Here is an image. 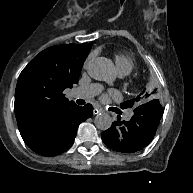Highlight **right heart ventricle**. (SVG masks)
Returning <instances> with one entry per match:
<instances>
[{
    "instance_id": "obj_1",
    "label": "right heart ventricle",
    "mask_w": 193,
    "mask_h": 193,
    "mask_svg": "<svg viewBox=\"0 0 193 193\" xmlns=\"http://www.w3.org/2000/svg\"><path fill=\"white\" fill-rule=\"evenodd\" d=\"M115 68L120 76H126L134 69V61L129 56L116 55Z\"/></svg>"
}]
</instances>
